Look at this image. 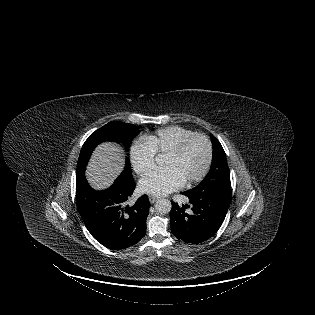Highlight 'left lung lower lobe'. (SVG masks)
<instances>
[{
	"instance_id": "1",
	"label": "left lung lower lobe",
	"mask_w": 315,
	"mask_h": 315,
	"mask_svg": "<svg viewBox=\"0 0 315 315\" xmlns=\"http://www.w3.org/2000/svg\"><path fill=\"white\" fill-rule=\"evenodd\" d=\"M189 198L192 212H186L172 202L171 231L188 243H201L211 238L221 227L231 202V195L212 190L191 189L183 192Z\"/></svg>"
}]
</instances>
